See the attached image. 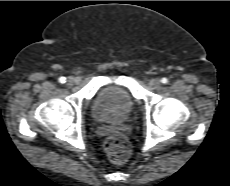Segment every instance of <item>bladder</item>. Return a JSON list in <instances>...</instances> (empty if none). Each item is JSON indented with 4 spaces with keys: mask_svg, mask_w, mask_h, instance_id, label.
Wrapping results in <instances>:
<instances>
[{
    "mask_svg": "<svg viewBox=\"0 0 230 186\" xmlns=\"http://www.w3.org/2000/svg\"><path fill=\"white\" fill-rule=\"evenodd\" d=\"M134 106V99L127 88L107 86L95 96L92 115L100 121H123L131 115Z\"/></svg>",
    "mask_w": 230,
    "mask_h": 186,
    "instance_id": "31cf9c89",
    "label": "bladder"
}]
</instances>
